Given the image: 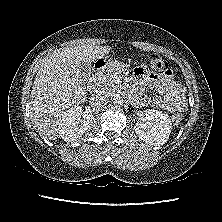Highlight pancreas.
I'll use <instances>...</instances> for the list:
<instances>
[{
    "label": "pancreas",
    "mask_w": 222,
    "mask_h": 222,
    "mask_svg": "<svg viewBox=\"0 0 222 222\" xmlns=\"http://www.w3.org/2000/svg\"><path fill=\"white\" fill-rule=\"evenodd\" d=\"M115 91L113 76L106 78L100 83L99 93L111 94Z\"/></svg>",
    "instance_id": "pancreas-1"
}]
</instances>
